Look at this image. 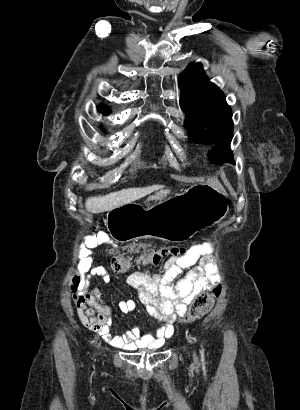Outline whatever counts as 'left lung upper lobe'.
Here are the masks:
<instances>
[{
  "label": "left lung upper lobe",
  "instance_id": "obj_1",
  "mask_svg": "<svg viewBox=\"0 0 300 410\" xmlns=\"http://www.w3.org/2000/svg\"><path fill=\"white\" fill-rule=\"evenodd\" d=\"M180 107L186 114L185 127L193 143L215 147L208 156L215 163H234L230 150L233 136L231 108L220 89L209 81L200 63L191 64L180 75Z\"/></svg>",
  "mask_w": 300,
  "mask_h": 410
}]
</instances>
